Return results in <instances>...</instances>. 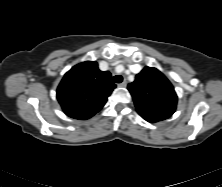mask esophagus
Instances as JSON below:
<instances>
[{"instance_id":"esophagus-1","label":"esophagus","mask_w":222,"mask_h":187,"mask_svg":"<svg viewBox=\"0 0 222 187\" xmlns=\"http://www.w3.org/2000/svg\"><path fill=\"white\" fill-rule=\"evenodd\" d=\"M126 85H127L126 81H123L122 83L118 84L119 87H126Z\"/></svg>"}]
</instances>
